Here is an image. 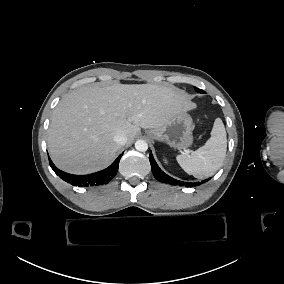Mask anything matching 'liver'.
Returning a JSON list of instances; mask_svg holds the SVG:
<instances>
[{"label": "liver", "mask_w": 284, "mask_h": 284, "mask_svg": "<svg viewBox=\"0 0 284 284\" xmlns=\"http://www.w3.org/2000/svg\"><path fill=\"white\" fill-rule=\"evenodd\" d=\"M196 108L181 90L155 84L88 85L64 96L48 131L55 165L72 174H89L109 166L121 145L114 136L134 140L141 128L162 126L181 111Z\"/></svg>", "instance_id": "obj_1"}]
</instances>
